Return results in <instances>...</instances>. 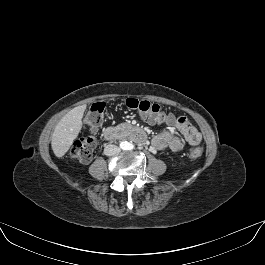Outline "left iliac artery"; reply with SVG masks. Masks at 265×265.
I'll return each instance as SVG.
<instances>
[{"label":"left iliac artery","mask_w":265,"mask_h":265,"mask_svg":"<svg viewBox=\"0 0 265 265\" xmlns=\"http://www.w3.org/2000/svg\"><path fill=\"white\" fill-rule=\"evenodd\" d=\"M128 148L131 150L134 148V146L132 144H130Z\"/></svg>","instance_id":"left-iliac-artery-1"}]
</instances>
